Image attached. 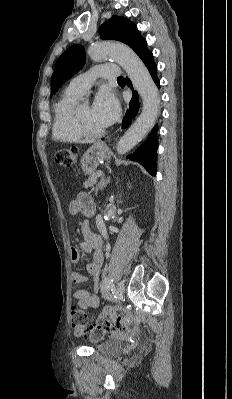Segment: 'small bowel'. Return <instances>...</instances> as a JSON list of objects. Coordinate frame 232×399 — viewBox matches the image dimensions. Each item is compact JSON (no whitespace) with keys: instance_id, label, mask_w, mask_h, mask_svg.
Returning a JSON list of instances; mask_svg holds the SVG:
<instances>
[{"instance_id":"small-bowel-1","label":"small bowel","mask_w":232,"mask_h":399,"mask_svg":"<svg viewBox=\"0 0 232 399\" xmlns=\"http://www.w3.org/2000/svg\"><path fill=\"white\" fill-rule=\"evenodd\" d=\"M71 208L74 212L91 213L95 210V203L88 193H79L71 203ZM81 232L85 236V240L80 242V249L86 251H93L92 259L88 263L87 269L89 274L95 279L92 284V288L95 292L99 291V284L96 279L100 275L103 257L100 252V247L103 244V237L97 235L86 223L80 226ZM70 262H79L80 253L77 249L71 248L69 250ZM85 281V277L81 272H74L70 277L71 284H82ZM73 298L77 301V305L81 308L96 309L99 306L98 298L83 288H76L72 292Z\"/></svg>"}]
</instances>
